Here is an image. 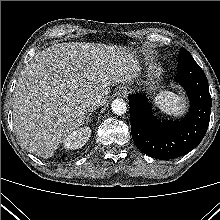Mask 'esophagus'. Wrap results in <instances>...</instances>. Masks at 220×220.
<instances>
[{
    "label": "esophagus",
    "mask_w": 220,
    "mask_h": 220,
    "mask_svg": "<svg viewBox=\"0 0 220 220\" xmlns=\"http://www.w3.org/2000/svg\"><path fill=\"white\" fill-rule=\"evenodd\" d=\"M122 94L126 95L127 94V90H122Z\"/></svg>",
    "instance_id": "obj_1"
}]
</instances>
